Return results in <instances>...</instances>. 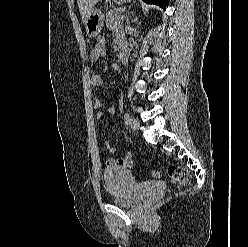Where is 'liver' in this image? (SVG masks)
<instances>
[{"mask_svg": "<svg viewBox=\"0 0 248 247\" xmlns=\"http://www.w3.org/2000/svg\"><path fill=\"white\" fill-rule=\"evenodd\" d=\"M99 1H102V0H77L79 12H80L83 22L89 10L92 9L96 5V3H98Z\"/></svg>", "mask_w": 248, "mask_h": 247, "instance_id": "liver-1", "label": "liver"}]
</instances>
